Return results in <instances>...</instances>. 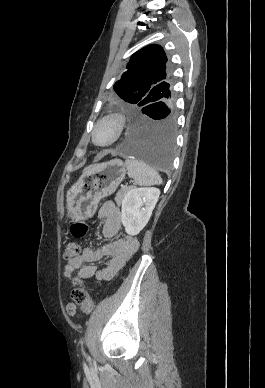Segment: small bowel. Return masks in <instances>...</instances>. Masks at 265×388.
Segmentation results:
<instances>
[{"label": "small bowel", "mask_w": 265, "mask_h": 388, "mask_svg": "<svg viewBox=\"0 0 265 388\" xmlns=\"http://www.w3.org/2000/svg\"><path fill=\"white\" fill-rule=\"evenodd\" d=\"M98 217L104 221L103 236L113 241L100 247H86L79 256L68 261L63 271V276L67 281L72 280L76 271L82 279L95 276L98 280L110 281L139 248V242L134 236L118 238L121 228V211L114 202L103 203L98 210ZM105 257H108L109 260L104 266L94 264ZM67 311L70 315H74L76 307L70 304Z\"/></svg>", "instance_id": "1"}]
</instances>
